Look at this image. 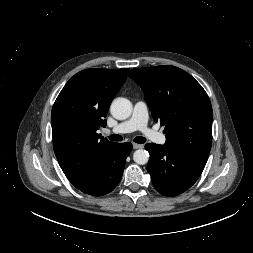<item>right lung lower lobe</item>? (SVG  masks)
<instances>
[{
	"mask_svg": "<svg viewBox=\"0 0 253 253\" xmlns=\"http://www.w3.org/2000/svg\"><path fill=\"white\" fill-rule=\"evenodd\" d=\"M131 150L130 142L112 143L102 152L85 178L73 185L92 196L111 192L122 178L125 161Z\"/></svg>",
	"mask_w": 253,
	"mask_h": 253,
	"instance_id": "98d812e1",
	"label": "right lung lower lobe"
}]
</instances>
